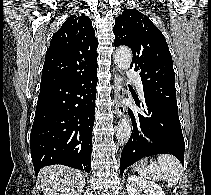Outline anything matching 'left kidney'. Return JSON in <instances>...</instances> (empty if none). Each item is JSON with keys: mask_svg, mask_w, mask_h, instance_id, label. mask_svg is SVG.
Returning <instances> with one entry per match:
<instances>
[{"mask_svg": "<svg viewBox=\"0 0 211 195\" xmlns=\"http://www.w3.org/2000/svg\"><path fill=\"white\" fill-rule=\"evenodd\" d=\"M126 188L128 195H166L158 184L136 175L127 178Z\"/></svg>", "mask_w": 211, "mask_h": 195, "instance_id": "1", "label": "left kidney"}]
</instances>
